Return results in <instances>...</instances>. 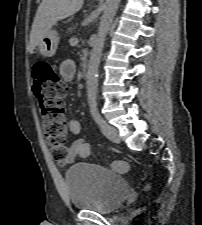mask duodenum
I'll list each match as a JSON object with an SVG mask.
<instances>
[{
    "label": "duodenum",
    "mask_w": 202,
    "mask_h": 225,
    "mask_svg": "<svg viewBox=\"0 0 202 225\" xmlns=\"http://www.w3.org/2000/svg\"><path fill=\"white\" fill-rule=\"evenodd\" d=\"M81 66H82L83 74L86 75V73L88 71V67H89V60H88V57L86 55H84L82 57Z\"/></svg>",
    "instance_id": "410a0bca"
}]
</instances>
